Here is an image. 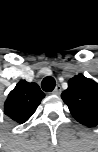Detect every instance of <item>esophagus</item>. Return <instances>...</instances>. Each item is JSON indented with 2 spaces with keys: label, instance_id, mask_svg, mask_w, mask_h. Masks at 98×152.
I'll use <instances>...</instances> for the list:
<instances>
[{
  "label": "esophagus",
  "instance_id": "obj_1",
  "mask_svg": "<svg viewBox=\"0 0 98 152\" xmlns=\"http://www.w3.org/2000/svg\"><path fill=\"white\" fill-rule=\"evenodd\" d=\"M52 93L55 95H59L61 93V86L57 85Z\"/></svg>",
  "mask_w": 98,
  "mask_h": 152
}]
</instances>
